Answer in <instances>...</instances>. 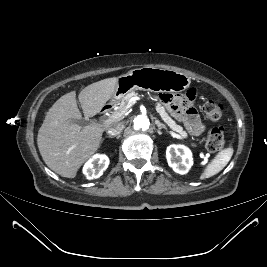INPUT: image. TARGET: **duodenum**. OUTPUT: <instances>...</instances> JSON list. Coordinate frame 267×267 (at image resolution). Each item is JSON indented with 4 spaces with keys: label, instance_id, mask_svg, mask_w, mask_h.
Segmentation results:
<instances>
[{
    "label": "duodenum",
    "instance_id": "duodenum-1",
    "mask_svg": "<svg viewBox=\"0 0 267 267\" xmlns=\"http://www.w3.org/2000/svg\"><path fill=\"white\" fill-rule=\"evenodd\" d=\"M107 111V109L106 108H103L101 111H100V113H104V112H106Z\"/></svg>",
    "mask_w": 267,
    "mask_h": 267
}]
</instances>
